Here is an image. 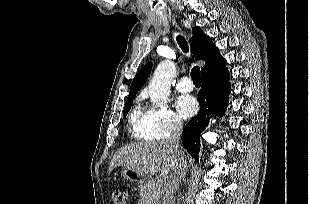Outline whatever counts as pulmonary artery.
<instances>
[{"instance_id":"obj_1","label":"pulmonary artery","mask_w":309,"mask_h":204,"mask_svg":"<svg viewBox=\"0 0 309 204\" xmlns=\"http://www.w3.org/2000/svg\"><path fill=\"white\" fill-rule=\"evenodd\" d=\"M178 91L183 93L191 92L194 88L193 82L189 77H182L176 84Z\"/></svg>"}]
</instances>
